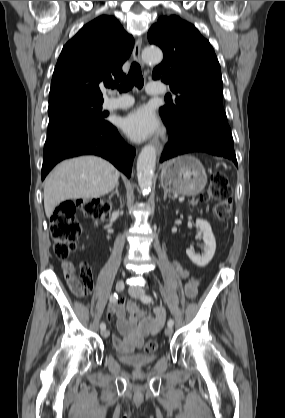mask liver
Listing matches in <instances>:
<instances>
[{"label":"liver","mask_w":285,"mask_h":418,"mask_svg":"<svg viewBox=\"0 0 285 418\" xmlns=\"http://www.w3.org/2000/svg\"><path fill=\"white\" fill-rule=\"evenodd\" d=\"M119 172L106 160L81 156L59 163L44 182V208L48 218L68 199L97 198L118 184Z\"/></svg>","instance_id":"obj_1"}]
</instances>
